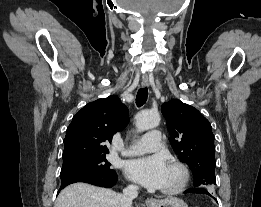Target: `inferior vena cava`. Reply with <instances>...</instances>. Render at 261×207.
Here are the masks:
<instances>
[{"instance_id": "1", "label": "inferior vena cava", "mask_w": 261, "mask_h": 207, "mask_svg": "<svg viewBox=\"0 0 261 207\" xmlns=\"http://www.w3.org/2000/svg\"><path fill=\"white\" fill-rule=\"evenodd\" d=\"M138 196V186L129 185L123 190V193L119 195L118 207H132V200Z\"/></svg>"}]
</instances>
